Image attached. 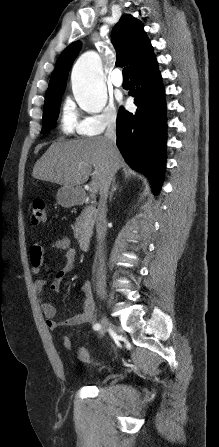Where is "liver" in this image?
I'll use <instances>...</instances> for the list:
<instances>
[{
    "label": "liver",
    "mask_w": 219,
    "mask_h": 447,
    "mask_svg": "<svg viewBox=\"0 0 219 447\" xmlns=\"http://www.w3.org/2000/svg\"><path fill=\"white\" fill-rule=\"evenodd\" d=\"M112 162L116 171L124 165L117 148L113 156L109 154L104 137L57 142L35 163L32 176L35 179L74 187L87 182L94 167L92 179L100 190Z\"/></svg>",
    "instance_id": "1"
}]
</instances>
